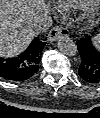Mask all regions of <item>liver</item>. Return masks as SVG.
Returning <instances> with one entry per match:
<instances>
[{
    "mask_svg": "<svg viewBox=\"0 0 100 118\" xmlns=\"http://www.w3.org/2000/svg\"><path fill=\"white\" fill-rule=\"evenodd\" d=\"M49 12L45 0H0V55L21 54L36 36L32 24Z\"/></svg>",
    "mask_w": 100,
    "mask_h": 118,
    "instance_id": "liver-1",
    "label": "liver"
}]
</instances>
